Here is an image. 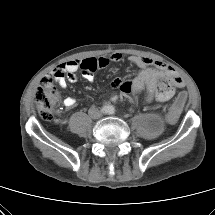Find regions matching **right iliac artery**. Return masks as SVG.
I'll return each instance as SVG.
<instances>
[{
	"mask_svg": "<svg viewBox=\"0 0 215 215\" xmlns=\"http://www.w3.org/2000/svg\"><path fill=\"white\" fill-rule=\"evenodd\" d=\"M101 112H102V113H107V112H108V109H107L106 107H103V108L101 109Z\"/></svg>",
	"mask_w": 215,
	"mask_h": 215,
	"instance_id": "obj_1",
	"label": "right iliac artery"
}]
</instances>
